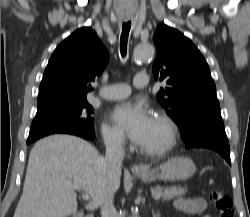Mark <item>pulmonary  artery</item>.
Wrapping results in <instances>:
<instances>
[{"label": "pulmonary artery", "mask_w": 250, "mask_h": 217, "mask_svg": "<svg viewBox=\"0 0 250 217\" xmlns=\"http://www.w3.org/2000/svg\"><path fill=\"white\" fill-rule=\"evenodd\" d=\"M149 83V76L146 73H138L133 79L136 88H145ZM131 93V88L125 83H117L100 87L98 94L106 100H118L126 98Z\"/></svg>", "instance_id": "obj_1"}]
</instances>
